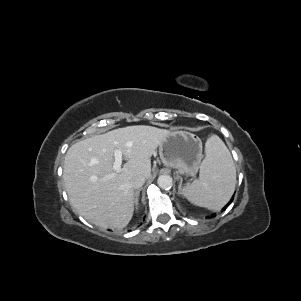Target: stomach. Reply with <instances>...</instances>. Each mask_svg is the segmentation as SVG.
<instances>
[{
	"instance_id": "1",
	"label": "stomach",
	"mask_w": 301,
	"mask_h": 301,
	"mask_svg": "<svg viewBox=\"0 0 301 301\" xmlns=\"http://www.w3.org/2000/svg\"><path fill=\"white\" fill-rule=\"evenodd\" d=\"M159 155L165 166L194 176L198 172L203 158L202 141L188 131L169 132L159 145Z\"/></svg>"
}]
</instances>
